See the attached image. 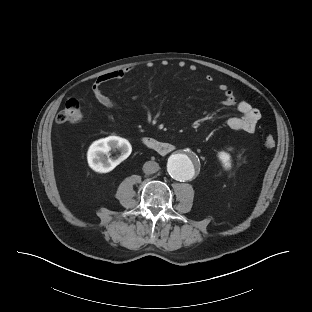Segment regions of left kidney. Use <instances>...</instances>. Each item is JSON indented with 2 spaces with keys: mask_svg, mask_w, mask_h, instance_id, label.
<instances>
[{
  "mask_svg": "<svg viewBox=\"0 0 312 312\" xmlns=\"http://www.w3.org/2000/svg\"><path fill=\"white\" fill-rule=\"evenodd\" d=\"M218 157L220 161L222 162L223 166L225 169H230L231 168V157L229 153L226 152H220L218 154Z\"/></svg>",
  "mask_w": 312,
  "mask_h": 312,
  "instance_id": "left-kidney-1",
  "label": "left kidney"
}]
</instances>
